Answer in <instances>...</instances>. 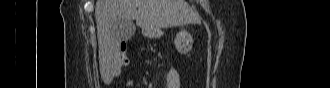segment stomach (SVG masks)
Instances as JSON below:
<instances>
[{"label":"stomach","mask_w":330,"mask_h":88,"mask_svg":"<svg viewBox=\"0 0 330 88\" xmlns=\"http://www.w3.org/2000/svg\"><path fill=\"white\" fill-rule=\"evenodd\" d=\"M148 35H149V37H156L157 30L151 31ZM175 45H176L177 50L181 54H187L192 49V45H193L191 35L186 30L180 31L176 35Z\"/></svg>","instance_id":"0dacf381"}]
</instances>
